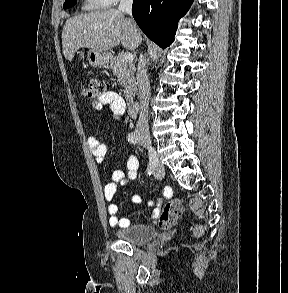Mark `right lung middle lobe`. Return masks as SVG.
I'll return each mask as SVG.
<instances>
[{"mask_svg": "<svg viewBox=\"0 0 288 293\" xmlns=\"http://www.w3.org/2000/svg\"><path fill=\"white\" fill-rule=\"evenodd\" d=\"M76 1L77 0H65L64 5H63V8L64 9H67V8L72 7L73 5L76 4Z\"/></svg>", "mask_w": 288, "mask_h": 293, "instance_id": "right-lung-middle-lobe-1", "label": "right lung middle lobe"}]
</instances>
